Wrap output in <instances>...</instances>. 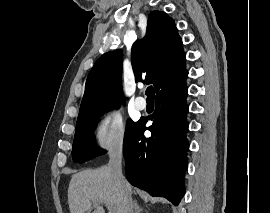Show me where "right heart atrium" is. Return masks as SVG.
<instances>
[{
    "label": "right heart atrium",
    "mask_w": 270,
    "mask_h": 213,
    "mask_svg": "<svg viewBox=\"0 0 270 213\" xmlns=\"http://www.w3.org/2000/svg\"><path fill=\"white\" fill-rule=\"evenodd\" d=\"M94 141L99 150L114 154L125 147V129L121 114L115 110L104 112L94 129Z\"/></svg>",
    "instance_id": "right-heart-atrium-1"
}]
</instances>
